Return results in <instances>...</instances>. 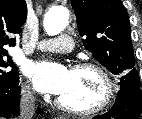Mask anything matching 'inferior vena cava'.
Here are the masks:
<instances>
[{"label": "inferior vena cava", "instance_id": "1", "mask_svg": "<svg viewBox=\"0 0 142 119\" xmlns=\"http://www.w3.org/2000/svg\"><path fill=\"white\" fill-rule=\"evenodd\" d=\"M35 111V97L30 88L24 87L20 98L19 119H32Z\"/></svg>", "mask_w": 142, "mask_h": 119}]
</instances>
